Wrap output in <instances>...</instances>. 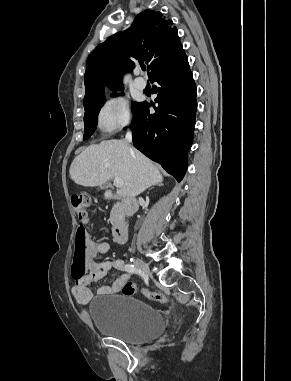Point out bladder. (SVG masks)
Returning a JSON list of instances; mask_svg holds the SVG:
<instances>
[{
    "instance_id": "obj_1",
    "label": "bladder",
    "mask_w": 291,
    "mask_h": 381,
    "mask_svg": "<svg viewBox=\"0 0 291 381\" xmlns=\"http://www.w3.org/2000/svg\"><path fill=\"white\" fill-rule=\"evenodd\" d=\"M89 314L99 332L133 344L152 341L166 328L163 316L155 308L131 295L94 297Z\"/></svg>"
}]
</instances>
